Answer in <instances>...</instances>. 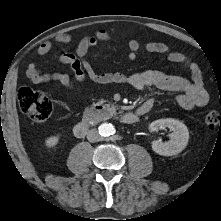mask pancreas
<instances>
[{
	"instance_id": "pancreas-1",
	"label": "pancreas",
	"mask_w": 221,
	"mask_h": 221,
	"mask_svg": "<svg viewBox=\"0 0 221 221\" xmlns=\"http://www.w3.org/2000/svg\"><path fill=\"white\" fill-rule=\"evenodd\" d=\"M116 114V111H115V108L112 107L110 108V112L108 114V116L106 118H109L113 115ZM106 118H103V117H88V116H84V119H86L88 122H92L93 124H96L97 122L103 120V119H106Z\"/></svg>"
}]
</instances>
